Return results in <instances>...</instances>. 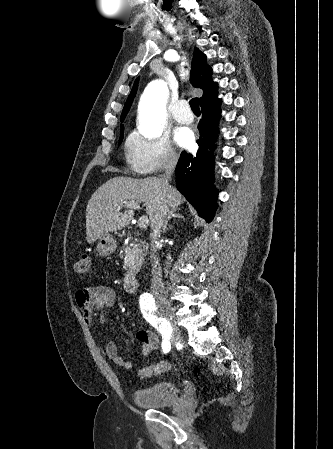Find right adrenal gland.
Returning a JSON list of instances; mask_svg holds the SVG:
<instances>
[{"instance_id": "2a0ac1e0", "label": "right adrenal gland", "mask_w": 333, "mask_h": 449, "mask_svg": "<svg viewBox=\"0 0 333 449\" xmlns=\"http://www.w3.org/2000/svg\"><path fill=\"white\" fill-rule=\"evenodd\" d=\"M177 210L180 209H171L168 213V216L165 220L164 226H163V232H166L167 226H168V222L172 219V218H181V219H185L184 216H182L179 213H176Z\"/></svg>"}]
</instances>
